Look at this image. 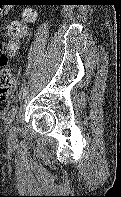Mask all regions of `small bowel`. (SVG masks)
I'll return each instance as SVG.
<instances>
[{"label":"small bowel","mask_w":121,"mask_h":197,"mask_svg":"<svg viewBox=\"0 0 121 197\" xmlns=\"http://www.w3.org/2000/svg\"><path fill=\"white\" fill-rule=\"evenodd\" d=\"M8 14V9L0 8V20Z\"/></svg>","instance_id":"1"}]
</instances>
